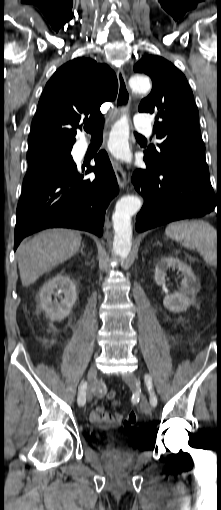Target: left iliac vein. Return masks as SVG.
I'll list each match as a JSON object with an SVG mask.
<instances>
[{"mask_svg":"<svg viewBox=\"0 0 221 510\" xmlns=\"http://www.w3.org/2000/svg\"><path fill=\"white\" fill-rule=\"evenodd\" d=\"M122 378L129 386L137 388V377L134 373L124 374ZM140 407L143 413L147 415L151 413V405L143 394H141Z\"/></svg>","mask_w":221,"mask_h":510,"instance_id":"1","label":"left iliac vein"}]
</instances>
